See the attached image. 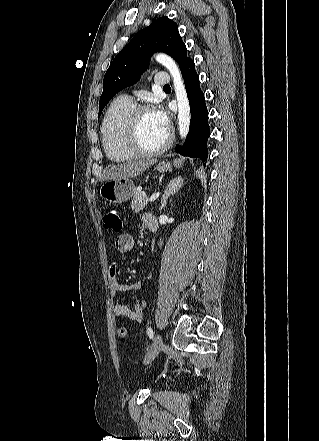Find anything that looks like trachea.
Listing matches in <instances>:
<instances>
[{"label":"trachea","mask_w":319,"mask_h":441,"mask_svg":"<svg viewBox=\"0 0 319 441\" xmlns=\"http://www.w3.org/2000/svg\"><path fill=\"white\" fill-rule=\"evenodd\" d=\"M168 88H170L169 85H165V86L163 87V89H168Z\"/></svg>","instance_id":"3493384b"}]
</instances>
